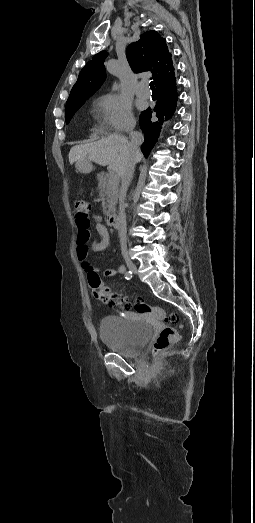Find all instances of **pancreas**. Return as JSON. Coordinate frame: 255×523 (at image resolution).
I'll list each match as a JSON object with an SVG mask.
<instances>
[{"mask_svg": "<svg viewBox=\"0 0 255 523\" xmlns=\"http://www.w3.org/2000/svg\"><path fill=\"white\" fill-rule=\"evenodd\" d=\"M98 188L102 200V208L105 216L115 214L116 204L118 202L120 178L117 174H97Z\"/></svg>", "mask_w": 255, "mask_h": 523, "instance_id": "obj_1", "label": "pancreas"}]
</instances>
